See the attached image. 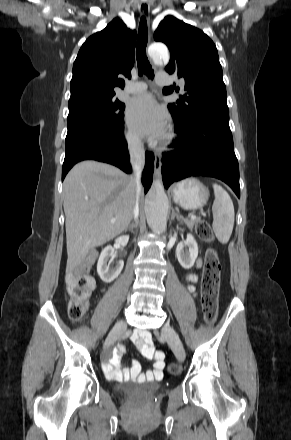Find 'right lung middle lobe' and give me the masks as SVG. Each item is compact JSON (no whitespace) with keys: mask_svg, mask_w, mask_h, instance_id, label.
<instances>
[{"mask_svg":"<svg viewBox=\"0 0 291 440\" xmlns=\"http://www.w3.org/2000/svg\"><path fill=\"white\" fill-rule=\"evenodd\" d=\"M125 105L111 96H86L69 101L68 122L87 120L101 125H116L124 118Z\"/></svg>","mask_w":291,"mask_h":440,"instance_id":"right-lung-middle-lobe-1","label":"right lung middle lobe"}]
</instances>
